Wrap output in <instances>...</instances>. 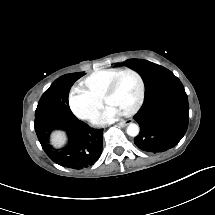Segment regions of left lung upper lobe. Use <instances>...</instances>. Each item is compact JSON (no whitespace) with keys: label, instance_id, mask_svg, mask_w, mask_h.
Returning a JSON list of instances; mask_svg holds the SVG:
<instances>
[{"label":"left lung upper lobe","instance_id":"obj_1","mask_svg":"<svg viewBox=\"0 0 215 215\" xmlns=\"http://www.w3.org/2000/svg\"><path fill=\"white\" fill-rule=\"evenodd\" d=\"M125 64L138 71L145 83V101L134 116L140 126L134 143L153 153L173 148L186 133L189 121L182 83L172 72L149 61L134 59Z\"/></svg>","mask_w":215,"mask_h":215}]
</instances>
